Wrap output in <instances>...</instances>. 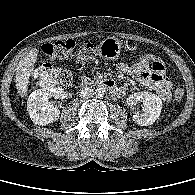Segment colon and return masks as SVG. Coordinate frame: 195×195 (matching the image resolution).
<instances>
[{"label":"colon","instance_id":"5ec220e1","mask_svg":"<svg viewBox=\"0 0 195 195\" xmlns=\"http://www.w3.org/2000/svg\"><path fill=\"white\" fill-rule=\"evenodd\" d=\"M42 52L51 59L65 60L77 54L78 60L82 63L89 62L95 57L94 46L90 41H84L77 49L73 40H61L45 43L42 46ZM145 69L152 74L164 75L165 66L162 61L151 53H145L140 57V61ZM34 78L41 86H67L72 81V73L69 70L45 64L34 72ZM184 97V90L176 88L174 90V99L179 101Z\"/></svg>","mask_w":195,"mask_h":195}]
</instances>
